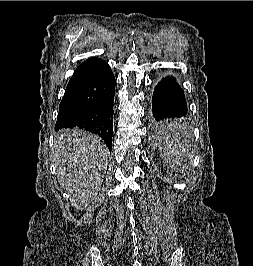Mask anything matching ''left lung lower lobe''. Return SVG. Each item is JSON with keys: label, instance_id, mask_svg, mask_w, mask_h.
<instances>
[{"label": "left lung lower lobe", "instance_id": "obj_1", "mask_svg": "<svg viewBox=\"0 0 253 266\" xmlns=\"http://www.w3.org/2000/svg\"><path fill=\"white\" fill-rule=\"evenodd\" d=\"M187 115L183 90L172 77L163 78L155 87L152 96L150 123L154 131L163 136L182 128V119Z\"/></svg>", "mask_w": 253, "mask_h": 266}]
</instances>
